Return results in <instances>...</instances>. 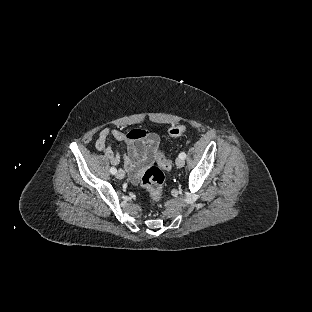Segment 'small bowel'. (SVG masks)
I'll use <instances>...</instances> for the list:
<instances>
[{"label": "small bowel", "instance_id": "small-bowel-1", "mask_svg": "<svg viewBox=\"0 0 312 312\" xmlns=\"http://www.w3.org/2000/svg\"><path fill=\"white\" fill-rule=\"evenodd\" d=\"M123 142L126 154L123 158L108 145V139ZM95 148L104 153L105 157L114 165L123 160V167L133 184H138L142 173L159 158L161 152L158 134L144 129H132L124 132L119 129L103 128L95 142Z\"/></svg>", "mask_w": 312, "mask_h": 312}]
</instances>
